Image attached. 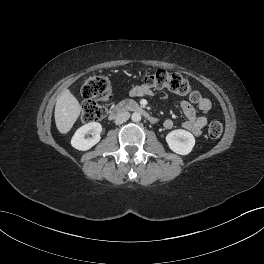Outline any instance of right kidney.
I'll return each mask as SVG.
<instances>
[{"label": "right kidney", "mask_w": 264, "mask_h": 264, "mask_svg": "<svg viewBox=\"0 0 264 264\" xmlns=\"http://www.w3.org/2000/svg\"><path fill=\"white\" fill-rule=\"evenodd\" d=\"M102 126L98 122H91L80 127L71 139V145L81 151L89 150L100 141ZM92 134L91 138H85L86 134Z\"/></svg>", "instance_id": "obj_1"}]
</instances>
